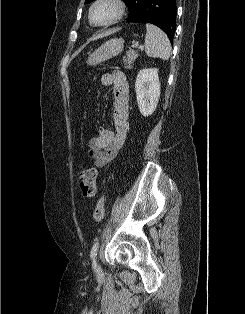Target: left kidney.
Masks as SVG:
<instances>
[{"label": "left kidney", "instance_id": "5707ae66", "mask_svg": "<svg viewBox=\"0 0 245 314\" xmlns=\"http://www.w3.org/2000/svg\"><path fill=\"white\" fill-rule=\"evenodd\" d=\"M135 91L137 103L144 117L150 116L156 109L160 97L158 69H142L139 71Z\"/></svg>", "mask_w": 245, "mask_h": 314}]
</instances>
